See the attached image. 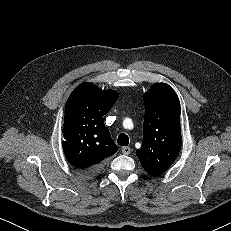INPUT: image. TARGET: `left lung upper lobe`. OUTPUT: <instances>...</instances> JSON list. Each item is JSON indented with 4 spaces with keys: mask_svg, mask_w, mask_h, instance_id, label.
Listing matches in <instances>:
<instances>
[{
    "mask_svg": "<svg viewBox=\"0 0 231 231\" xmlns=\"http://www.w3.org/2000/svg\"><path fill=\"white\" fill-rule=\"evenodd\" d=\"M143 99V141L136 155L147 173L159 176L167 171L181 149L180 103L174 90L165 83L154 84Z\"/></svg>",
    "mask_w": 231,
    "mask_h": 231,
    "instance_id": "left-lung-upper-lobe-1",
    "label": "left lung upper lobe"
}]
</instances>
